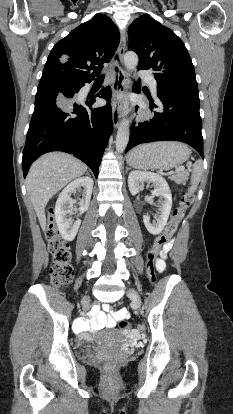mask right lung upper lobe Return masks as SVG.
<instances>
[{
    "label": "right lung upper lobe",
    "mask_w": 233,
    "mask_h": 414,
    "mask_svg": "<svg viewBox=\"0 0 233 414\" xmlns=\"http://www.w3.org/2000/svg\"><path fill=\"white\" fill-rule=\"evenodd\" d=\"M119 40V31L112 20L106 15H96L54 45L41 80L91 82L103 64L110 62Z\"/></svg>",
    "instance_id": "cb5924a9"
}]
</instances>
